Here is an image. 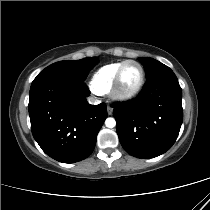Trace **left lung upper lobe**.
I'll return each instance as SVG.
<instances>
[{"mask_svg": "<svg viewBox=\"0 0 210 210\" xmlns=\"http://www.w3.org/2000/svg\"><path fill=\"white\" fill-rule=\"evenodd\" d=\"M138 60L144 65L147 80L159 73L165 72L170 69L166 65L153 58L140 57L138 58Z\"/></svg>", "mask_w": 210, "mask_h": 210, "instance_id": "obj_1", "label": "left lung upper lobe"}]
</instances>
